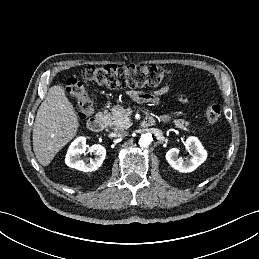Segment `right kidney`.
I'll use <instances>...</instances> for the list:
<instances>
[{"label":"right kidney","mask_w":259,"mask_h":259,"mask_svg":"<svg viewBox=\"0 0 259 259\" xmlns=\"http://www.w3.org/2000/svg\"><path fill=\"white\" fill-rule=\"evenodd\" d=\"M88 150L95 155L94 159H90V162H85L81 159V154H84ZM106 156V149L100 144H94L87 149L86 138L78 137L70 145L65 163L71 168L83 172H92L97 170L103 163Z\"/></svg>","instance_id":"obj_1"}]
</instances>
